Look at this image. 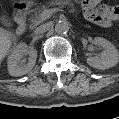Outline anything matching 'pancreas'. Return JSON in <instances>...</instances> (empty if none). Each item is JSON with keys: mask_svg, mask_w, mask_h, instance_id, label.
<instances>
[{"mask_svg": "<svg viewBox=\"0 0 119 119\" xmlns=\"http://www.w3.org/2000/svg\"><path fill=\"white\" fill-rule=\"evenodd\" d=\"M70 5L69 0H54L50 1L47 5H43L39 8H35L31 10V12H34L33 17L30 18V28H34L40 23H42L44 20L41 19V13L44 10H47L49 7L59 6L60 8H63L65 6Z\"/></svg>", "mask_w": 119, "mask_h": 119, "instance_id": "1", "label": "pancreas"}]
</instances>
